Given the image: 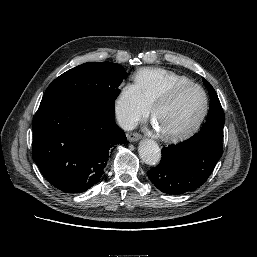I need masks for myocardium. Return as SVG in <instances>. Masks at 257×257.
<instances>
[{
	"mask_svg": "<svg viewBox=\"0 0 257 257\" xmlns=\"http://www.w3.org/2000/svg\"><path fill=\"white\" fill-rule=\"evenodd\" d=\"M189 88H197L201 91L204 99V104L201 113L199 114L198 118L196 121L183 129L175 130V131H165L163 130V135L170 139V140H179L186 138L193 134L203 123L204 119L206 118L208 111H209V97L206 92V90L199 84L189 82V83H184L177 85L173 88H171L169 91H167L165 94L160 96L155 103L152 105V117L154 120L157 121V111L160 107L163 105L171 103L182 91L189 89Z\"/></svg>",
	"mask_w": 257,
	"mask_h": 257,
	"instance_id": "f54148a6",
	"label": "myocardium"
}]
</instances>
